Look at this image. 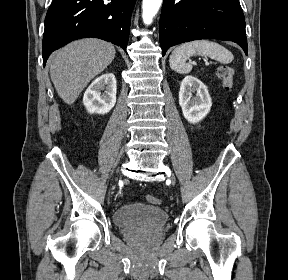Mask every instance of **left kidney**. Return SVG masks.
Segmentation results:
<instances>
[{"label": "left kidney", "instance_id": "1", "mask_svg": "<svg viewBox=\"0 0 288 280\" xmlns=\"http://www.w3.org/2000/svg\"><path fill=\"white\" fill-rule=\"evenodd\" d=\"M179 105L184 118L189 123L200 122L209 113L212 106L206 85L194 76H186L180 85Z\"/></svg>", "mask_w": 288, "mask_h": 280}]
</instances>
